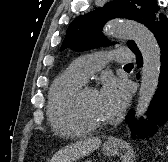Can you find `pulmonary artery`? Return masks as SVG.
Wrapping results in <instances>:
<instances>
[{
    "label": "pulmonary artery",
    "mask_w": 168,
    "mask_h": 162,
    "mask_svg": "<svg viewBox=\"0 0 168 162\" xmlns=\"http://www.w3.org/2000/svg\"><path fill=\"white\" fill-rule=\"evenodd\" d=\"M110 59L119 63L130 62L132 55L128 49L123 47L110 51H99L75 59L69 69L85 83L94 72L100 70Z\"/></svg>",
    "instance_id": "e3ab8cb5"
}]
</instances>
